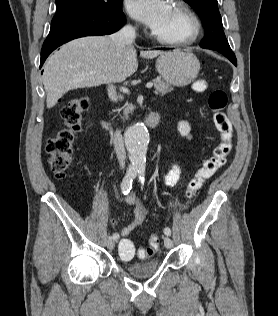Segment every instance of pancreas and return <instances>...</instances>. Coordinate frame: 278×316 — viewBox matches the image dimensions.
Segmentation results:
<instances>
[{"instance_id":"pancreas-1","label":"pancreas","mask_w":278,"mask_h":316,"mask_svg":"<svg viewBox=\"0 0 278 316\" xmlns=\"http://www.w3.org/2000/svg\"><path fill=\"white\" fill-rule=\"evenodd\" d=\"M154 86H155V94H159L161 96L165 95L166 93L173 90V88L164 80H162L160 77L153 80ZM123 109L124 117L127 118L128 114L132 112L133 105L130 103H126L124 107L119 109L118 111H121Z\"/></svg>"}]
</instances>
